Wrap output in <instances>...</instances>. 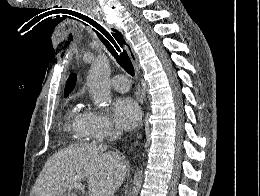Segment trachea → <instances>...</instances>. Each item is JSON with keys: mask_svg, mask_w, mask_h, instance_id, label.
<instances>
[{"mask_svg": "<svg viewBox=\"0 0 260 196\" xmlns=\"http://www.w3.org/2000/svg\"><path fill=\"white\" fill-rule=\"evenodd\" d=\"M114 33H104L106 39L103 40L104 45L108 51L113 55L117 63L124 68V70L131 76H135L134 67L130 60V56L126 50H124L125 39L123 35L117 31L113 30Z\"/></svg>", "mask_w": 260, "mask_h": 196, "instance_id": "1", "label": "trachea"}]
</instances>
